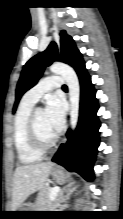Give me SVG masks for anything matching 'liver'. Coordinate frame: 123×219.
I'll return each instance as SVG.
<instances>
[{
	"instance_id": "liver-1",
	"label": "liver",
	"mask_w": 123,
	"mask_h": 219,
	"mask_svg": "<svg viewBox=\"0 0 123 219\" xmlns=\"http://www.w3.org/2000/svg\"><path fill=\"white\" fill-rule=\"evenodd\" d=\"M53 166L52 162H44L16 168L12 184L11 211H16L31 194L44 188Z\"/></svg>"
}]
</instances>
